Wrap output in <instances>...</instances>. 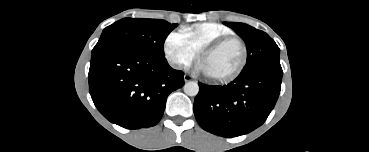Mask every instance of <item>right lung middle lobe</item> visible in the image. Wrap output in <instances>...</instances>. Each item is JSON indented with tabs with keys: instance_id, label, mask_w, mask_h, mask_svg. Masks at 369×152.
<instances>
[{
	"instance_id": "1",
	"label": "right lung middle lobe",
	"mask_w": 369,
	"mask_h": 152,
	"mask_svg": "<svg viewBox=\"0 0 369 152\" xmlns=\"http://www.w3.org/2000/svg\"><path fill=\"white\" fill-rule=\"evenodd\" d=\"M177 25L156 19H121L103 30L91 57L127 49L164 59V41Z\"/></svg>"
}]
</instances>
